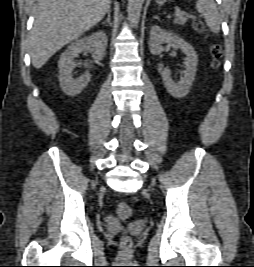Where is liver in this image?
I'll list each match as a JSON object with an SVG mask.
<instances>
[{"mask_svg":"<svg viewBox=\"0 0 254 267\" xmlns=\"http://www.w3.org/2000/svg\"><path fill=\"white\" fill-rule=\"evenodd\" d=\"M111 0H39L30 33L32 65L41 68L58 50L99 23Z\"/></svg>","mask_w":254,"mask_h":267,"instance_id":"obj_1","label":"liver"}]
</instances>
